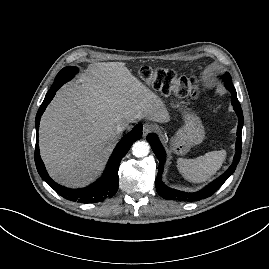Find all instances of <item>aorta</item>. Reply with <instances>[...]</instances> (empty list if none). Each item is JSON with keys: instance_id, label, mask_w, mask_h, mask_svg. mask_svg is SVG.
Listing matches in <instances>:
<instances>
[{"instance_id": "aorta-1", "label": "aorta", "mask_w": 269, "mask_h": 269, "mask_svg": "<svg viewBox=\"0 0 269 269\" xmlns=\"http://www.w3.org/2000/svg\"><path fill=\"white\" fill-rule=\"evenodd\" d=\"M150 146L145 141H137L132 146V153L135 157L142 158L149 154Z\"/></svg>"}]
</instances>
